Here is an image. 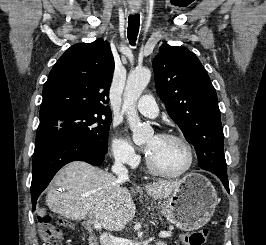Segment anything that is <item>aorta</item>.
Wrapping results in <instances>:
<instances>
[{
  "instance_id": "1",
  "label": "aorta",
  "mask_w": 266,
  "mask_h": 245,
  "mask_svg": "<svg viewBox=\"0 0 266 245\" xmlns=\"http://www.w3.org/2000/svg\"><path fill=\"white\" fill-rule=\"evenodd\" d=\"M150 78L151 70L149 68H136V70L129 72L124 88L122 108L125 110L135 145H144L147 139L153 135V129H151L150 125L140 123V116H138L136 110V102L144 88H146Z\"/></svg>"
}]
</instances>
